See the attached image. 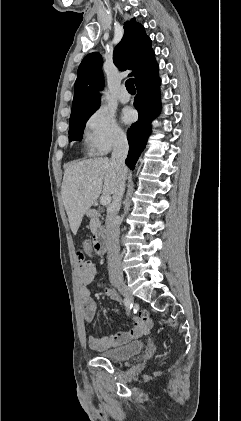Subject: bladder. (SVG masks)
Returning <instances> with one entry per match:
<instances>
[{"label": "bladder", "instance_id": "obj_1", "mask_svg": "<svg viewBox=\"0 0 241 421\" xmlns=\"http://www.w3.org/2000/svg\"><path fill=\"white\" fill-rule=\"evenodd\" d=\"M144 349L142 341H134L126 345L103 351L100 356L113 362H123L139 355Z\"/></svg>", "mask_w": 241, "mask_h": 421}]
</instances>
